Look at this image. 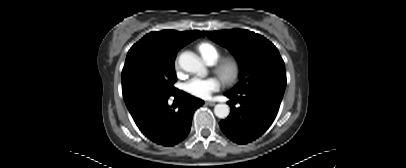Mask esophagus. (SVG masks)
Listing matches in <instances>:
<instances>
[{
	"mask_svg": "<svg viewBox=\"0 0 406 168\" xmlns=\"http://www.w3.org/2000/svg\"><path fill=\"white\" fill-rule=\"evenodd\" d=\"M205 104H206V105H209V106H214V105H215V102L206 101Z\"/></svg>",
	"mask_w": 406,
	"mask_h": 168,
	"instance_id": "esophagus-1",
	"label": "esophagus"
}]
</instances>
